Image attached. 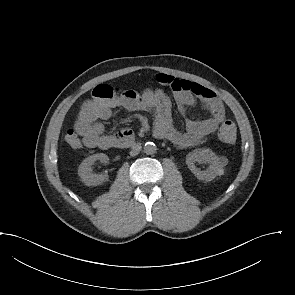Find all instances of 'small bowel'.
I'll use <instances>...</instances> for the list:
<instances>
[{
	"mask_svg": "<svg viewBox=\"0 0 295 295\" xmlns=\"http://www.w3.org/2000/svg\"><path fill=\"white\" fill-rule=\"evenodd\" d=\"M156 80L172 90L173 98L182 114L199 99L210 113L209 117L187 119L185 131H180L173 124L171 100L162 89L148 88L142 92L128 90L110 101L85 104L78 114L74 128L66 133L69 146L73 149L85 146L107 150L115 147V142L121 135L132 134L130 129H123L116 134L105 133L100 121L109 119L112 110L117 107L129 111H152L155 116L154 135L170 141L180 149L198 145L225 121L222 102L211 89L164 73L157 74Z\"/></svg>",
	"mask_w": 295,
	"mask_h": 295,
	"instance_id": "c3829d8e",
	"label": "small bowel"
}]
</instances>
